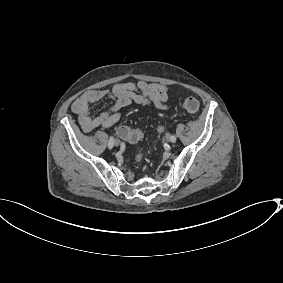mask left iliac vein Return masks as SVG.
<instances>
[{
	"mask_svg": "<svg viewBox=\"0 0 283 283\" xmlns=\"http://www.w3.org/2000/svg\"><path fill=\"white\" fill-rule=\"evenodd\" d=\"M165 140H166L167 142H170V141H171V134H170V133H167V134L165 135Z\"/></svg>",
	"mask_w": 283,
	"mask_h": 283,
	"instance_id": "obj_1",
	"label": "left iliac vein"
}]
</instances>
